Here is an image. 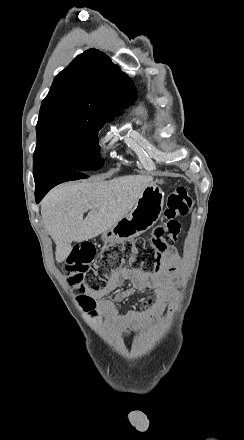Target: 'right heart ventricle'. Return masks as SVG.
<instances>
[{
  "label": "right heart ventricle",
  "instance_id": "right-heart-ventricle-1",
  "mask_svg": "<svg viewBox=\"0 0 244 440\" xmlns=\"http://www.w3.org/2000/svg\"><path fill=\"white\" fill-rule=\"evenodd\" d=\"M137 113H139V114H143V113H144V109H143V108H138V109H137Z\"/></svg>",
  "mask_w": 244,
  "mask_h": 440
}]
</instances>
